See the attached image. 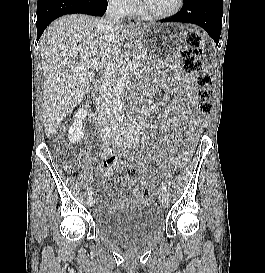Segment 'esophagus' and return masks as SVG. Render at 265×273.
Here are the masks:
<instances>
[{"mask_svg":"<svg viewBox=\"0 0 265 273\" xmlns=\"http://www.w3.org/2000/svg\"><path fill=\"white\" fill-rule=\"evenodd\" d=\"M129 23H130L132 26L141 25V22H140L138 19H134V18H129Z\"/></svg>","mask_w":265,"mask_h":273,"instance_id":"34e87169","label":"esophagus"}]
</instances>
